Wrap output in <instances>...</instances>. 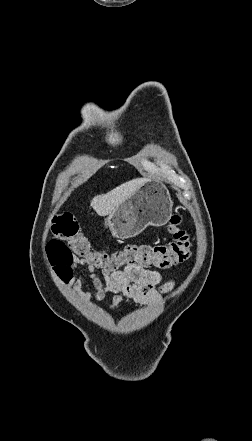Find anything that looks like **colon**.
<instances>
[{
  "mask_svg": "<svg viewBox=\"0 0 252 441\" xmlns=\"http://www.w3.org/2000/svg\"><path fill=\"white\" fill-rule=\"evenodd\" d=\"M181 218L171 219L170 232L173 241L165 245H129L113 253L95 251L88 239L79 231L75 218L70 214L58 215L53 220L55 238L46 246L48 259L62 279L69 273L76 256L88 260L97 268L119 270L130 266L169 268L186 261L191 252L192 241L186 231L179 227Z\"/></svg>",
  "mask_w": 252,
  "mask_h": 441,
  "instance_id": "colon-1",
  "label": "colon"
}]
</instances>
